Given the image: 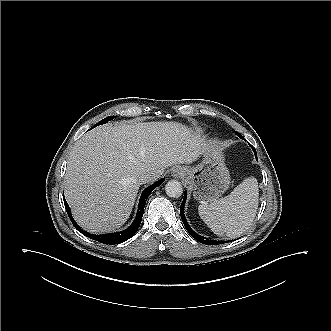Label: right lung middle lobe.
I'll return each instance as SVG.
<instances>
[{
    "label": "right lung middle lobe",
    "mask_w": 331,
    "mask_h": 331,
    "mask_svg": "<svg viewBox=\"0 0 331 331\" xmlns=\"http://www.w3.org/2000/svg\"><path fill=\"white\" fill-rule=\"evenodd\" d=\"M114 118H115V116H109V117H107V118L101 120V121L98 122L97 124H95V125L93 126V128L96 127V126H98V125H101V124L107 123L108 121H110V120H112V119H114Z\"/></svg>",
    "instance_id": "right-lung-middle-lobe-1"
}]
</instances>
